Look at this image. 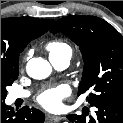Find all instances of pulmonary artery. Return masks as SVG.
<instances>
[{
	"label": "pulmonary artery",
	"mask_w": 123,
	"mask_h": 123,
	"mask_svg": "<svg viewBox=\"0 0 123 123\" xmlns=\"http://www.w3.org/2000/svg\"><path fill=\"white\" fill-rule=\"evenodd\" d=\"M50 61L55 68L59 70H63L68 67L70 63V56H62L59 58L50 57ZM29 95L30 93L28 91H22V90H15L10 94L13 100H16L18 98H27Z\"/></svg>",
	"instance_id": "e3ab8cb5"
}]
</instances>
